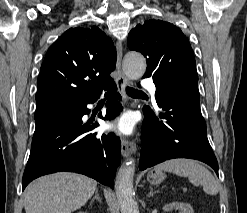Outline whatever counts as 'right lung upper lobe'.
Masks as SVG:
<instances>
[{
	"instance_id": "obj_1",
	"label": "right lung upper lobe",
	"mask_w": 247,
	"mask_h": 213,
	"mask_svg": "<svg viewBox=\"0 0 247 213\" xmlns=\"http://www.w3.org/2000/svg\"><path fill=\"white\" fill-rule=\"evenodd\" d=\"M116 48L98 27L70 28L48 49L37 81L36 108L62 96L92 97L114 81Z\"/></svg>"
}]
</instances>
